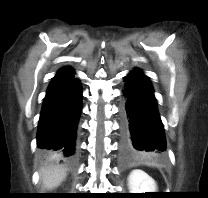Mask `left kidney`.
<instances>
[{
  "instance_id": "left-kidney-1",
  "label": "left kidney",
  "mask_w": 208,
  "mask_h": 198,
  "mask_svg": "<svg viewBox=\"0 0 208 198\" xmlns=\"http://www.w3.org/2000/svg\"><path fill=\"white\" fill-rule=\"evenodd\" d=\"M128 187L130 193L156 192L157 185L144 171L135 169L128 177Z\"/></svg>"
}]
</instances>
